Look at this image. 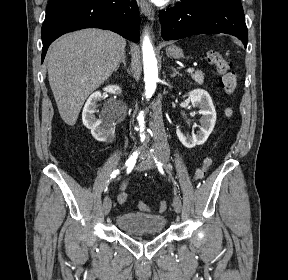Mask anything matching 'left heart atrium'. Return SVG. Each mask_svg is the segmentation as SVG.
Listing matches in <instances>:
<instances>
[{"label":"left heart atrium","mask_w":288,"mask_h":280,"mask_svg":"<svg viewBox=\"0 0 288 280\" xmlns=\"http://www.w3.org/2000/svg\"><path fill=\"white\" fill-rule=\"evenodd\" d=\"M154 2L158 3V4H163L165 3L167 0H153Z\"/></svg>","instance_id":"39dd6f15"}]
</instances>
